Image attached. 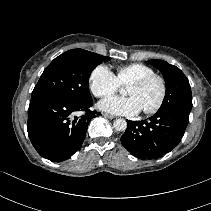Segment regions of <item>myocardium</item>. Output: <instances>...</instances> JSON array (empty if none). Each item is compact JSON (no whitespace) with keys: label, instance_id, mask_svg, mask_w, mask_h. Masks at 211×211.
<instances>
[{"label":"myocardium","instance_id":"myocardium-1","mask_svg":"<svg viewBox=\"0 0 211 211\" xmlns=\"http://www.w3.org/2000/svg\"><path fill=\"white\" fill-rule=\"evenodd\" d=\"M152 81H158L160 83L161 95H160L158 102L156 103V105L154 107L147 109V110H143V113L146 115H153V114L157 113L164 105V102L167 97V83H166L165 78L158 74H152V75L143 77L141 79H138L129 85V86H134V87H144Z\"/></svg>","mask_w":211,"mask_h":211}]
</instances>
